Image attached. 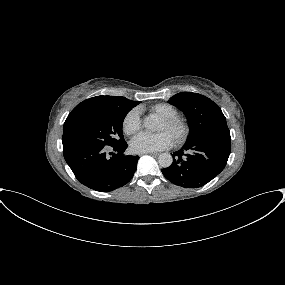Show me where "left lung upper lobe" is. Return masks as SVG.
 <instances>
[{"instance_id": "left-lung-upper-lobe-1", "label": "left lung upper lobe", "mask_w": 285, "mask_h": 285, "mask_svg": "<svg viewBox=\"0 0 285 285\" xmlns=\"http://www.w3.org/2000/svg\"><path fill=\"white\" fill-rule=\"evenodd\" d=\"M168 102L177 106L188 118L190 131L187 142L207 134L230 136L226 118L221 109L206 96L181 92L171 97Z\"/></svg>"}]
</instances>
